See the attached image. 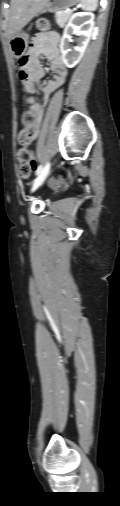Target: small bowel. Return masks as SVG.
<instances>
[{
	"instance_id": "c3829d8e",
	"label": "small bowel",
	"mask_w": 120,
	"mask_h": 506,
	"mask_svg": "<svg viewBox=\"0 0 120 506\" xmlns=\"http://www.w3.org/2000/svg\"><path fill=\"white\" fill-rule=\"evenodd\" d=\"M59 39L54 34H38L34 37L30 50L27 55V70L23 85L26 92L33 94L40 91L43 95V104H32L31 111L35 115V122L32 126L33 138L39 135V129L44 114V107L51 94L58 89L65 81L67 68L65 67L59 51ZM44 56L50 61V69L54 73L53 79L48 80L44 85L39 82L45 75V68L41 65L39 59Z\"/></svg>"
}]
</instances>
